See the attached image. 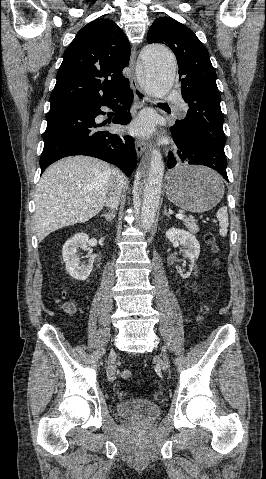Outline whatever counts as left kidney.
I'll return each instance as SVG.
<instances>
[{"instance_id":"obj_1","label":"left kidney","mask_w":266,"mask_h":479,"mask_svg":"<svg viewBox=\"0 0 266 479\" xmlns=\"http://www.w3.org/2000/svg\"><path fill=\"white\" fill-rule=\"evenodd\" d=\"M166 237L169 239L170 242L178 240L186 248L183 256L190 260V268L187 272H182L181 270L177 271L183 279L188 278L191 275L194 262L200 254V244L198 240L190 232L176 228H170L169 230H167Z\"/></svg>"}]
</instances>
